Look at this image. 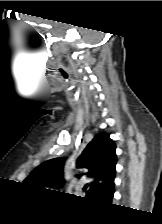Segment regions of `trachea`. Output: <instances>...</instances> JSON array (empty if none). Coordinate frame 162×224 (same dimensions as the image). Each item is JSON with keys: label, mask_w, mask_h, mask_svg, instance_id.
Segmentation results:
<instances>
[{"label": "trachea", "mask_w": 162, "mask_h": 224, "mask_svg": "<svg viewBox=\"0 0 162 224\" xmlns=\"http://www.w3.org/2000/svg\"><path fill=\"white\" fill-rule=\"evenodd\" d=\"M84 190H86L87 189V186H84V188H83Z\"/></svg>", "instance_id": "1"}]
</instances>
